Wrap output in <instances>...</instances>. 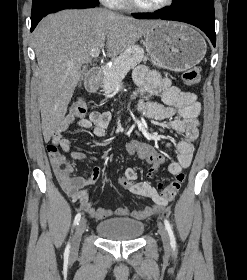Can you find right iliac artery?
<instances>
[{
	"label": "right iliac artery",
	"instance_id": "1",
	"mask_svg": "<svg viewBox=\"0 0 247 280\" xmlns=\"http://www.w3.org/2000/svg\"><path fill=\"white\" fill-rule=\"evenodd\" d=\"M80 218H81V214L78 213L76 216H75V219H74V225H77L80 221ZM69 250H70V243L67 244V247L65 249V253L66 254H69Z\"/></svg>",
	"mask_w": 247,
	"mask_h": 280
}]
</instances>
